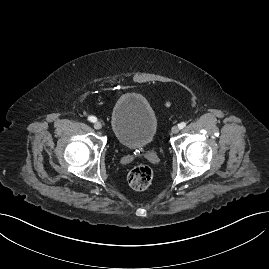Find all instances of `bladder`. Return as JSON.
Returning <instances> with one entry per match:
<instances>
[{
  "label": "bladder",
  "instance_id": "31cf9c89",
  "mask_svg": "<svg viewBox=\"0 0 269 269\" xmlns=\"http://www.w3.org/2000/svg\"><path fill=\"white\" fill-rule=\"evenodd\" d=\"M110 125L115 140L123 147L140 149L148 146L158 129L157 115L141 93H126L113 105Z\"/></svg>",
  "mask_w": 269,
  "mask_h": 269
}]
</instances>
